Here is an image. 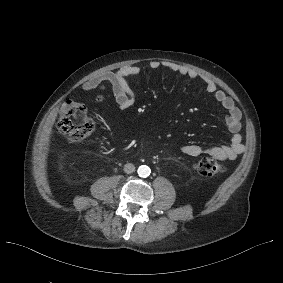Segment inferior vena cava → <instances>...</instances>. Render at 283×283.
<instances>
[{
	"label": "inferior vena cava",
	"mask_w": 283,
	"mask_h": 283,
	"mask_svg": "<svg viewBox=\"0 0 283 283\" xmlns=\"http://www.w3.org/2000/svg\"><path fill=\"white\" fill-rule=\"evenodd\" d=\"M135 171V166L132 163H128L124 165L125 173H133Z\"/></svg>",
	"instance_id": "obj_1"
}]
</instances>
